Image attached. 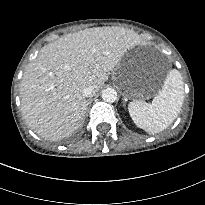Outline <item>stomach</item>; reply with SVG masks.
I'll use <instances>...</instances> for the list:
<instances>
[{"instance_id":"0dacf381","label":"stomach","mask_w":205,"mask_h":205,"mask_svg":"<svg viewBox=\"0 0 205 205\" xmlns=\"http://www.w3.org/2000/svg\"><path fill=\"white\" fill-rule=\"evenodd\" d=\"M112 78L129 98H149L159 90V86L143 80L138 63L129 55L114 70Z\"/></svg>"}]
</instances>
